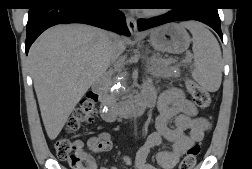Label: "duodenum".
I'll return each mask as SVG.
<instances>
[{
    "instance_id": "1",
    "label": "duodenum",
    "mask_w": 252,
    "mask_h": 169,
    "mask_svg": "<svg viewBox=\"0 0 252 169\" xmlns=\"http://www.w3.org/2000/svg\"><path fill=\"white\" fill-rule=\"evenodd\" d=\"M100 101V114L105 122L112 123L124 117H136L154 105L150 96H140L137 99L118 104L109 98L107 84L103 79L97 80L92 86Z\"/></svg>"
}]
</instances>
